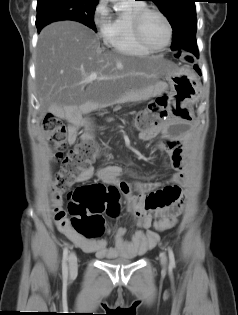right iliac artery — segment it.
I'll list each match as a JSON object with an SVG mask.
<instances>
[{"mask_svg": "<svg viewBox=\"0 0 238 315\" xmlns=\"http://www.w3.org/2000/svg\"><path fill=\"white\" fill-rule=\"evenodd\" d=\"M67 260H68V248L66 246L63 250V259H62V274H63L64 280H67V277H68Z\"/></svg>", "mask_w": 238, "mask_h": 315, "instance_id": "82829eb1", "label": "right iliac artery"}]
</instances>
